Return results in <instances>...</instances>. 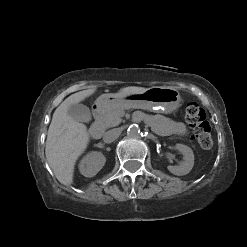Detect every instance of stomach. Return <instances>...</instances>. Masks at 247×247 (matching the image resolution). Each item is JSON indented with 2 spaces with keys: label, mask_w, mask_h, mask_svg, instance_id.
Instances as JSON below:
<instances>
[{
  "label": "stomach",
  "mask_w": 247,
  "mask_h": 247,
  "mask_svg": "<svg viewBox=\"0 0 247 247\" xmlns=\"http://www.w3.org/2000/svg\"><path fill=\"white\" fill-rule=\"evenodd\" d=\"M99 112L117 107H135L161 113H172L181 105V96L173 87H151L145 92L119 97L116 94H103L95 101Z\"/></svg>",
  "instance_id": "obj_1"
}]
</instances>
